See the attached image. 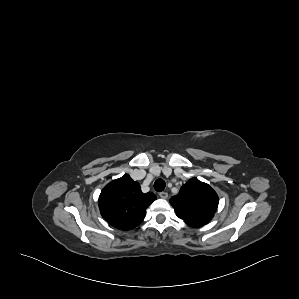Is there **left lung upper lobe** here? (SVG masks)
<instances>
[{
  "label": "left lung upper lobe",
  "mask_w": 299,
  "mask_h": 299,
  "mask_svg": "<svg viewBox=\"0 0 299 299\" xmlns=\"http://www.w3.org/2000/svg\"><path fill=\"white\" fill-rule=\"evenodd\" d=\"M177 216L187 225L198 228L207 224L218 207L216 192L197 178L182 185L179 193L170 199Z\"/></svg>",
  "instance_id": "1"
}]
</instances>
